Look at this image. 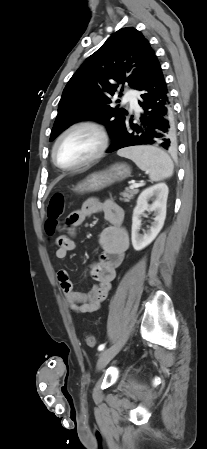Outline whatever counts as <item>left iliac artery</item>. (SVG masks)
I'll list each match as a JSON object with an SVG mask.
<instances>
[{
	"label": "left iliac artery",
	"mask_w": 207,
	"mask_h": 449,
	"mask_svg": "<svg viewBox=\"0 0 207 449\" xmlns=\"http://www.w3.org/2000/svg\"><path fill=\"white\" fill-rule=\"evenodd\" d=\"M104 348H105V344H101V345H99L98 350L102 351V350H104Z\"/></svg>",
	"instance_id": "left-iliac-artery-1"
}]
</instances>
